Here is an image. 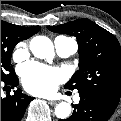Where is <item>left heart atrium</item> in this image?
<instances>
[{
  "mask_svg": "<svg viewBox=\"0 0 121 121\" xmlns=\"http://www.w3.org/2000/svg\"><path fill=\"white\" fill-rule=\"evenodd\" d=\"M22 78L29 92L49 95L57 90L64 80V74L58 68L31 62L23 66Z\"/></svg>",
  "mask_w": 121,
  "mask_h": 121,
  "instance_id": "39dd6f15",
  "label": "left heart atrium"
}]
</instances>
